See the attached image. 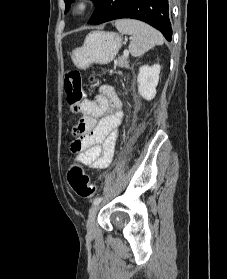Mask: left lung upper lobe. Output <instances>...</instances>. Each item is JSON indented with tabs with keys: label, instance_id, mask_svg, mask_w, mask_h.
I'll list each match as a JSON object with an SVG mask.
<instances>
[{
	"label": "left lung upper lobe",
	"instance_id": "obj_1",
	"mask_svg": "<svg viewBox=\"0 0 227 279\" xmlns=\"http://www.w3.org/2000/svg\"><path fill=\"white\" fill-rule=\"evenodd\" d=\"M73 1H74V0H64L65 5H66L65 13L69 10L70 5H71V3H72ZM98 1H99V0H93V2H94L95 4H97Z\"/></svg>",
	"mask_w": 227,
	"mask_h": 279
}]
</instances>
